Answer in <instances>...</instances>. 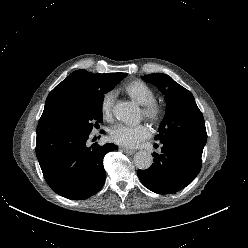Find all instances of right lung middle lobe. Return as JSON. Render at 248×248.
I'll return each instance as SVG.
<instances>
[{
  "instance_id": "dd1d6c3e",
  "label": "right lung middle lobe",
  "mask_w": 248,
  "mask_h": 248,
  "mask_svg": "<svg viewBox=\"0 0 248 248\" xmlns=\"http://www.w3.org/2000/svg\"><path fill=\"white\" fill-rule=\"evenodd\" d=\"M126 73H114L113 76L94 82L87 100L74 108L63 109L39 121L37 133L49 129H70L91 132L99 127L102 118L104 94L111 91Z\"/></svg>"
}]
</instances>
